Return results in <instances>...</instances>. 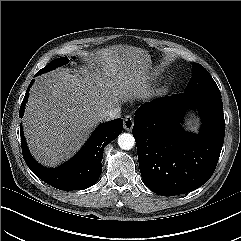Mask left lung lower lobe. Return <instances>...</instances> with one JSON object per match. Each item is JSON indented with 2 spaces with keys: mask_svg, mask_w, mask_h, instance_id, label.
<instances>
[{
  "mask_svg": "<svg viewBox=\"0 0 241 241\" xmlns=\"http://www.w3.org/2000/svg\"><path fill=\"white\" fill-rule=\"evenodd\" d=\"M197 108L203 125L198 135L179 126L186 108ZM133 136L144 184L162 196L193 191L212 176L224 142L221 93L194 91L146 102L137 109Z\"/></svg>",
  "mask_w": 241,
  "mask_h": 241,
  "instance_id": "0a47b994",
  "label": "left lung lower lobe"
}]
</instances>
